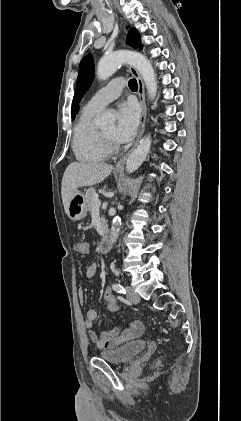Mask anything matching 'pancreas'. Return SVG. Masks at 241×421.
I'll use <instances>...</instances> for the list:
<instances>
[{"mask_svg": "<svg viewBox=\"0 0 241 421\" xmlns=\"http://www.w3.org/2000/svg\"><path fill=\"white\" fill-rule=\"evenodd\" d=\"M95 193H96L95 188H89L86 191V194H85V202H86V206H87V210L88 211H91V209H92V206H93V197H94V194ZM101 221H102V224H105L104 217H101Z\"/></svg>", "mask_w": 241, "mask_h": 421, "instance_id": "obj_1", "label": "pancreas"}]
</instances>
